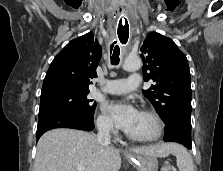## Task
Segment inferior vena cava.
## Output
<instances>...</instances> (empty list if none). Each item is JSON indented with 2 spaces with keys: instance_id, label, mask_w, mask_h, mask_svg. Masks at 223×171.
<instances>
[{
  "instance_id": "inferior-vena-cava-1",
  "label": "inferior vena cava",
  "mask_w": 223,
  "mask_h": 171,
  "mask_svg": "<svg viewBox=\"0 0 223 171\" xmlns=\"http://www.w3.org/2000/svg\"><path fill=\"white\" fill-rule=\"evenodd\" d=\"M97 142L103 146L110 145V126L108 124L99 125Z\"/></svg>"
}]
</instances>
